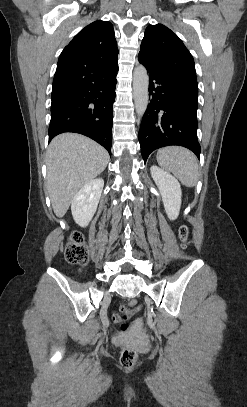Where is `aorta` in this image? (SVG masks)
Wrapping results in <instances>:
<instances>
[{
	"instance_id": "aorta-1",
	"label": "aorta",
	"mask_w": 247,
	"mask_h": 407,
	"mask_svg": "<svg viewBox=\"0 0 247 407\" xmlns=\"http://www.w3.org/2000/svg\"><path fill=\"white\" fill-rule=\"evenodd\" d=\"M149 77L144 66L138 65L133 72V98L135 110L139 117H142L149 102L148 94Z\"/></svg>"
}]
</instances>
